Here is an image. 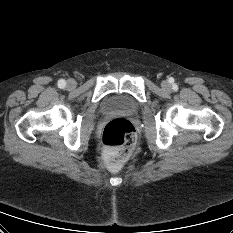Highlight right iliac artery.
<instances>
[{
    "instance_id": "obj_1",
    "label": "right iliac artery",
    "mask_w": 233,
    "mask_h": 233,
    "mask_svg": "<svg viewBox=\"0 0 233 233\" xmlns=\"http://www.w3.org/2000/svg\"><path fill=\"white\" fill-rule=\"evenodd\" d=\"M66 86V81L64 79H60L58 81V87L63 89Z\"/></svg>"
}]
</instances>
